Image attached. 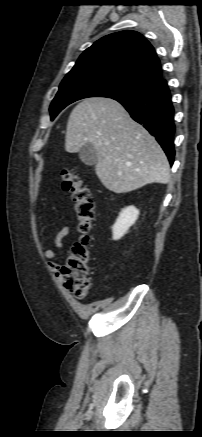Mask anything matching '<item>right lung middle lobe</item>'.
I'll return each mask as SVG.
<instances>
[{
	"label": "right lung middle lobe",
	"instance_id": "dd1d6c3e",
	"mask_svg": "<svg viewBox=\"0 0 202 437\" xmlns=\"http://www.w3.org/2000/svg\"><path fill=\"white\" fill-rule=\"evenodd\" d=\"M152 83L128 75L102 70L69 72L59 86L50 106L51 120L74 101L87 97L116 98L141 93Z\"/></svg>",
	"mask_w": 202,
	"mask_h": 437
}]
</instances>
